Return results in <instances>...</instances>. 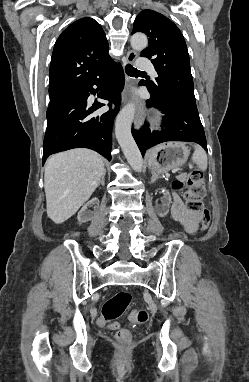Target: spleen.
<instances>
[{
  "mask_svg": "<svg viewBox=\"0 0 249 382\" xmlns=\"http://www.w3.org/2000/svg\"><path fill=\"white\" fill-rule=\"evenodd\" d=\"M192 161L197 164L198 168L202 171L207 168V155L206 152L199 146H195V151L192 155Z\"/></svg>",
  "mask_w": 249,
  "mask_h": 382,
  "instance_id": "3e777b00",
  "label": "spleen"
}]
</instances>
